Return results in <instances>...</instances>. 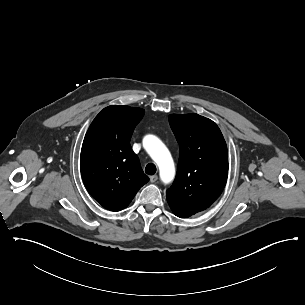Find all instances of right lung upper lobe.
<instances>
[{
    "instance_id": "obj_1",
    "label": "right lung upper lobe",
    "mask_w": 305,
    "mask_h": 305,
    "mask_svg": "<svg viewBox=\"0 0 305 305\" xmlns=\"http://www.w3.org/2000/svg\"><path fill=\"white\" fill-rule=\"evenodd\" d=\"M144 115L141 108L112 105L91 123L81 150L80 169L84 184L104 208H126L149 181L143 173L130 139Z\"/></svg>"
}]
</instances>
